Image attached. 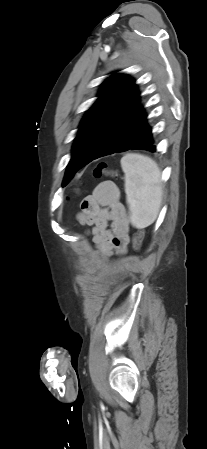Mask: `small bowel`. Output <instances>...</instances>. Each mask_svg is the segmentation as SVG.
<instances>
[{
    "label": "small bowel",
    "mask_w": 207,
    "mask_h": 449,
    "mask_svg": "<svg viewBox=\"0 0 207 449\" xmlns=\"http://www.w3.org/2000/svg\"><path fill=\"white\" fill-rule=\"evenodd\" d=\"M80 224L89 226L96 252L93 264L101 266L113 254H125L129 244V224L120 201L117 186L110 181L100 183L87 196L77 215Z\"/></svg>",
    "instance_id": "c3829d8e"
}]
</instances>
